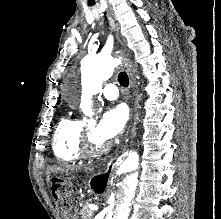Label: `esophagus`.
I'll list each match as a JSON object with an SVG mask.
<instances>
[{
  "instance_id": "obj_1",
  "label": "esophagus",
  "mask_w": 221,
  "mask_h": 219,
  "mask_svg": "<svg viewBox=\"0 0 221 219\" xmlns=\"http://www.w3.org/2000/svg\"><path fill=\"white\" fill-rule=\"evenodd\" d=\"M106 17L109 22L111 30L114 32L116 39L119 40L118 27H117V24L115 23L112 13L109 10L106 11ZM127 74L129 77V89H132L134 87V78H133V75L131 74V72L129 71V69H127ZM133 100L135 103L134 105H133ZM136 103H137L136 100L134 98H132V107H131L132 112L134 110L136 111V108H137Z\"/></svg>"
}]
</instances>
